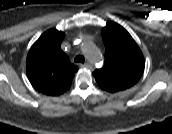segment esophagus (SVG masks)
Returning a JSON list of instances; mask_svg holds the SVG:
<instances>
[{
  "mask_svg": "<svg viewBox=\"0 0 172 134\" xmlns=\"http://www.w3.org/2000/svg\"><path fill=\"white\" fill-rule=\"evenodd\" d=\"M80 66L91 70L93 69V66L90 63L81 64Z\"/></svg>",
  "mask_w": 172,
  "mask_h": 134,
  "instance_id": "obj_1",
  "label": "esophagus"
}]
</instances>
